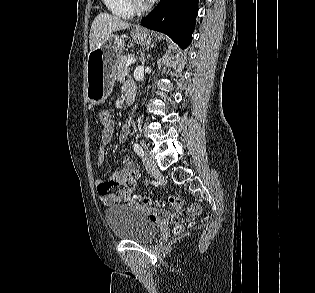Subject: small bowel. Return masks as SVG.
Returning <instances> with one entry per match:
<instances>
[{"instance_id":"small-bowel-1","label":"small bowel","mask_w":315,"mask_h":293,"mask_svg":"<svg viewBox=\"0 0 315 293\" xmlns=\"http://www.w3.org/2000/svg\"><path fill=\"white\" fill-rule=\"evenodd\" d=\"M123 92L125 95L129 94L130 92H135L134 84L132 82H127L123 86ZM113 131L114 121L110 115L108 123L103 126L102 143L99 147L96 160L97 166H101L104 162L107 145L112 139ZM129 132L130 125L125 124L119 132L118 141L123 143ZM138 178L139 171L135 168L133 160L131 158H125L122 162L121 169L116 171L108 181L96 179L94 181V185L102 203L107 206H111L125 199L131 202V195ZM116 187L119 188L115 192H111V189ZM173 213H176V210H173ZM151 218L153 220L160 221L172 219L168 211H152Z\"/></svg>"}]
</instances>
